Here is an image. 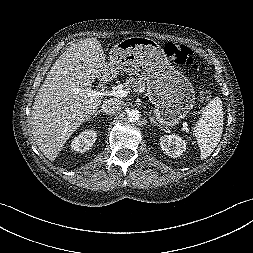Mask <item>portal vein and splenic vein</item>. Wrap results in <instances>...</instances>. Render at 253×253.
Returning <instances> with one entry per match:
<instances>
[{
	"label": "portal vein and splenic vein",
	"mask_w": 253,
	"mask_h": 253,
	"mask_svg": "<svg viewBox=\"0 0 253 253\" xmlns=\"http://www.w3.org/2000/svg\"><path fill=\"white\" fill-rule=\"evenodd\" d=\"M129 91L126 89H117V90H105V89H101V90H86V94L90 97V98H99V97H103V96H114V97H118V98H123L126 97L128 95ZM183 127H187V123H183Z\"/></svg>",
	"instance_id": "18ae733b"
}]
</instances>
